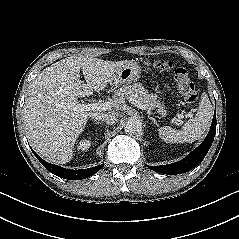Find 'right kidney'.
<instances>
[{"label": "right kidney", "mask_w": 239, "mask_h": 239, "mask_svg": "<svg viewBox=\"0 0 239 239\" xmlns=\"http://www.w3.org/2000/svg\"><path fill=\"white\" fill-rule=\"evenodd\" d=\"M90 145H91V143L89 140H83L79 143L77 148H78V150L85 151L90 147Z\"/></svg>", "instance_id": "obj_1"}]
</instances>
